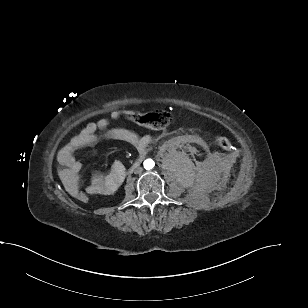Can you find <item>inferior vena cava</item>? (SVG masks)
<instances>
[{"mask_svg":"<svg viewBox=\"0 0 308 308\" xmlns=\"http://www.w3.org/2000/svg\"><path fill=\"white\" fill-rule=\"evenodd\" d=\"M142 171H143V169H142L141 167H138V168L135 169L134 172H135L136 174H140Z\"/></svg>","mask_w":308,"mask_h":308,"instance_id":"1","label":"inferior vena cava"}]
</instances>
